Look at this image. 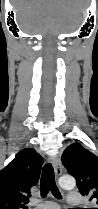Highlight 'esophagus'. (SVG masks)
<instances>
[{"label":"esophagus","mask_w":98,"mask_h":209,"mask_svg":"<svg viewBox=\"0 0 98 209\" xmlns=\"http://www.w3.org/2000/svg\"><path fill=\"white\" fill-rule=\"evenodd\" d=\"M52 163H53L55 175L57 177L61 176V174H62V165H61V161H60L59 157H57V156L53 157Z\"/></svg>","instance_id":"obj_1"}]
</instances>
